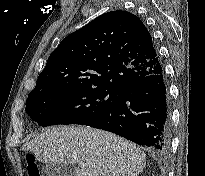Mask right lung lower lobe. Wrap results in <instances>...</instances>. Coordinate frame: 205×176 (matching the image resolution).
Masks as SVG:
<instances>
[{
    "instance_id": "98d812e1",
    "label": "right lung lower lobe",
    "mask_w": 205,
    "mask_h": 176,
    "mask_svg": "<svg viewBox=\"0 0 205 176\" xmlns=\"http://www.w3.org/2000/svg\"><path fill=\"white\" fill-rule=\"evenodd\" d=\"M86 126L113 132L160 153L167 152L170 112L163 69L128 84Z\"/></svg>"
}]
</instances>
